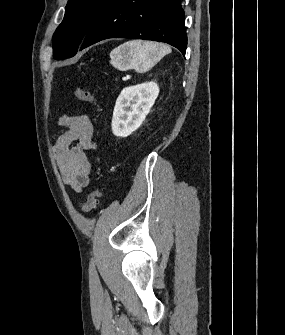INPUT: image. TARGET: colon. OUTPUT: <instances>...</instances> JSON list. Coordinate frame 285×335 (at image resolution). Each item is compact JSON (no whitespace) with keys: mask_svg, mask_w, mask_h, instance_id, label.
Segmentation results:
<instances>
[{"mask_svg":"<svg viewBox=\"0 0 285 335\" xmlns=\"http://www.w3.org/2000/svg\"><path fill=\"white\" fill-rule=\"evenodd\" d=\"M74 94L76 98L82 102L95 103L97 101V96L94 93L83 90L79 87L75 88ZM99 195H100L99 188L98 187L94 188L87 196V199L82 207V212L88 213L91 210H93L98 203Z\"/></svg>","mask_w":285,"mask_h":335,"instance_id":"colon-1","label":"colon"}]
</instances>
